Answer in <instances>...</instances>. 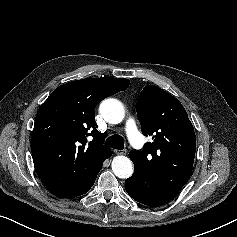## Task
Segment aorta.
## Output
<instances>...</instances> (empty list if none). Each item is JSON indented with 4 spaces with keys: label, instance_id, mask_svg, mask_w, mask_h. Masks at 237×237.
Masks as SVG:
<instances>
[{
    "label": "aorta",
    "instance_id": "762f6f07",
    "mask_svg": "<svg viewBox=\"0 0 237 237\" xmlns=\"http://www.w3.org/2000/svg\"><path fill=\"white\" fill-rule=\"evenodd\" d=\"M99 111L103 118L111 124L120 123L125 115L121 102L112 98L103 100ZM112 171L118 178L127 179L133 174L134 167L128 157L116 156L112 161Z\"/></svg>",
    "mask_w": 237,
    "mask_h": 237
}]
</instances>
